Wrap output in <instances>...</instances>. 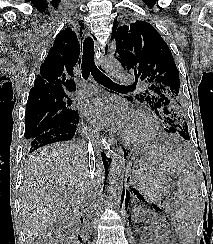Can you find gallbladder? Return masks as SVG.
<instances>
[{"mask_svg":"<svg viewBox=\"0 0 213 244\" xmlns=\"http://www.w3.org/2000/svg\"><path fill=\"white\" fill-rule=\"evenodd\" d=\"M63 220L62 219H60V220H58V223H61Z\"/></svg>","mask_w":213,"mask_h":244,"instance_id":"obj_1","label":"gallbladder"}]
</instances>
